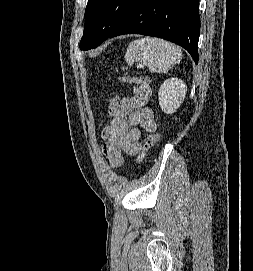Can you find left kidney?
Masks as SVG:
<instances>
[{
    "label": "left kidney",
    "instance_id": "1",
    "mask_svg": "<svg viewBox=\"0 0 253 271\" xmlns=\"http://www.w3.org/2000/svg\"><path fill=\"white\" fill-rule=\"evenodd\" d=\"M187 92L186 84L178 78H170L163 82L158 91V100L161 110L172 114L180 107Z\"/></svg>",
    "mask_w": 253,
    "mask_h": 271
}]
</instances>
